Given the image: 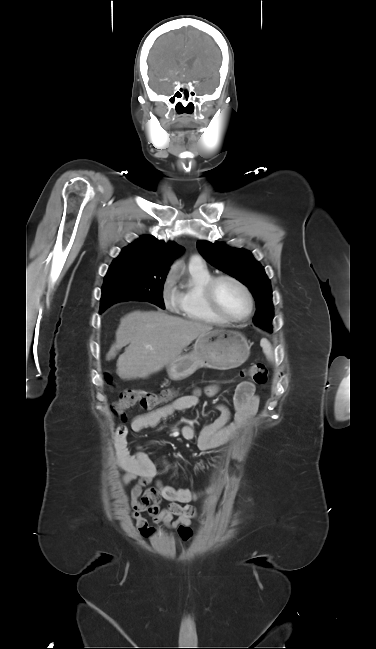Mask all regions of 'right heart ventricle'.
<instances>
[{
    "label": "right heart ventricle",
    "mask_w": 376,
    "mask_h": 649,
    "mask_svg": "<svg viewBox=\"0 0 376 649\" xmlns=\"http://www.w3.org/2000/svg\"><path fill=\"white\" fill-rule=\"evenodd\" d=\"M212 277L204 263H190L186 273L177 280V303L174 309L193 321L225 325L227 321L211 309L205 298V286Z\"/></svg>",
    "instance_id": "right-heart-ventricle-1"
}]
</instances>
